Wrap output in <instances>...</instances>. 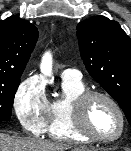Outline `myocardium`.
I'll list each match as a JSON object with an SVG mask.
<instances>
[{
  "label": "myocardium",
  "instance_id": "f54148a6",
  "mask_svg": "<svg viewBox=\"0 0 131 151\" xmlns=\"http://www.w3.org/2000/svg\"><path fill=\"white\" fill-rule=\"evenodd\" d=\"M96 99H103L107 101L109 104L112 105V107L118 114L120 120V129L118 133L113 137H101L95 134L89 127V108L91 103ZM72 118L74 127L79 134H81L88 140H92L99 143L116 142L123 136L126 128L125 114L118 101L110 94L98 90H86L76 97V99L72 103Z\"/></svg>",
  "mask_w": 131,
  "mask_h": 151
}]
</instances>
